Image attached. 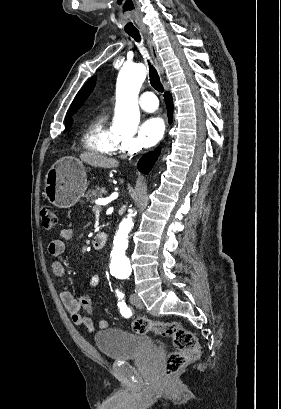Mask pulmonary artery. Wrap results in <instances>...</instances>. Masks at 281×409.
<instances>
[{"mask_svg":"<svg viewBox=\"0 0 281 409\" xmlns=\"http://www.w3.org/2000/svg\"><path fill=\"white\" fill-rule=\"evenodd\" d=\"M157 101V94H152L150 90H145L141 101H139V105L144 110L152 111L157 108V105H153L154 103H157Z\"/></svg>","mask_w":281,"mask_h":409,"instance_id":"e3ab8cb5","label":"pulmonary artery"}]
</instances>
